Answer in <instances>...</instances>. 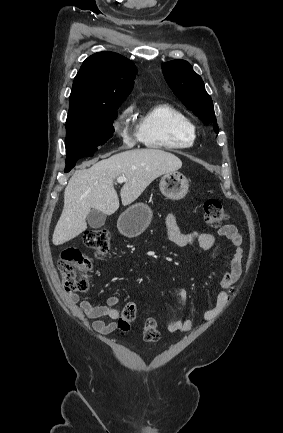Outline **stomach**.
<instances>
[{"mask_svg": "<svg viewBox=\"0 0 283 433\" xmlns=\"http://www.w3.org/2000/svg\"><path fill=\"white\" fill-rule=\"evenodd\" d=\"M160 190L167 198L180 200L188 192L189 182L181 172H166L161 176ZM152 219V210L144 202H136L126 208L118 219L117 227L124 237H138Z\"/></svg>", "mask_w": 283, "mask_h": 433, "instance_id": "stomach-1", "label": "stomach"}]
</instances>
